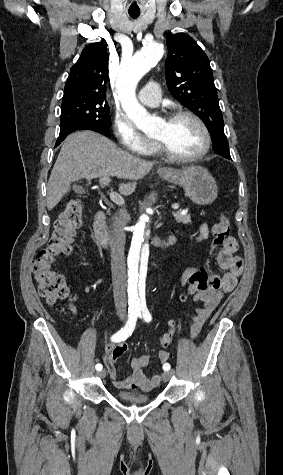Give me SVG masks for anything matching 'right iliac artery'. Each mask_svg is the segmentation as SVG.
<instances>
[{"instance_id": "right-iliac-artery-1", "label": "right iliac artery", "mask_w": 283, "mask_h": 475, "mask_svg": "<svg viewBox=\"0 0 283 475\" xmlns=\"http://www.w3.org/2000/svg\"><path fill=\"white\" fill-rule=\"evenodd\" d=\"M138 312H130L128 315V321L124 328H121L116 334L111 337L112 342H121L125 341L129 336L132 335V332L135 329L136 321L138 318ZM97 371H101L103 366L97 364L95 366Z\"/></svg>"}]
</instances>
